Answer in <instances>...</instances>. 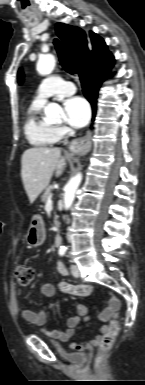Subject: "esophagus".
Listing matches in <instances>:
<instances>
[{
	"label": "esophagus",
	"instance_id": "34e87169",
	"mask_svg": "<svg viewBox=\"0 0 145 385\" xmlns=\"http://www.w3.org/2000/svg\"><path fill=\"white\" fill-rule=\"evenodd\" d=\"M70 148L76 153L86 154L91 148V132L88 131L83 138L73 140Z\"/></svg>",
	"mask_w": 145,
	"mask_h": 385
}]
</instances>
